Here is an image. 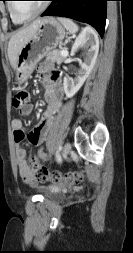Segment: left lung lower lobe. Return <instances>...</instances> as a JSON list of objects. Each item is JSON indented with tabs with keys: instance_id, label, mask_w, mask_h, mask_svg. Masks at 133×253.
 Masks as SVG:
<instances>
[{
	"instance_id": "obj_1",
	"label": "left lung lower lobe",
	"mask_w": 133,
	"mask_h": 253,
	"mask_svg": "<svg viewBox=\"0 0 133 253\" xmlns=\"http://www.w3.org/2000/svg\"><path fill=\"white\" fill-rule=\"evenodd\" d=\"M52 3L41 16L53 15L75 19L92 25L103 36L108 0H50Z\"/></svg>"
}]
</instances>
